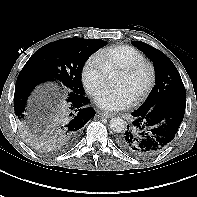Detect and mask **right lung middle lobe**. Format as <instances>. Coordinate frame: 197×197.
<instances>
[{"instance_id":"obj_1","label":"right lung middle lobe","mask_w":197,"mask_h":197,"mask_svg":"<svg viewBox=\"0 0 197 197\" xmlns=\"http://www.w3.org/2000/svg\"><path fill=\"white\" fill-rule=\"evenodd\" d=\"M106 42L101 39L66 38L44 45L27 61L21 71L57 80L70 92L84 94L81 72L87 59ZM28 117L30 114L26 111ZM32 118V117H30ZM23 128V124L21 123Z\"/></svg>"}]
</instances>
